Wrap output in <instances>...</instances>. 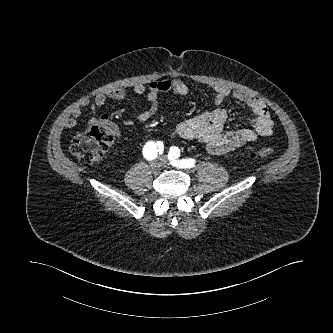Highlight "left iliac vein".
I'll use <instances>...</instances> for the list:
<instances>
[{"mask_svg":"<svg viewBox=\"0 0 333 333\" xmlns=\"http://www.w3.org/2000/svg\"><path fill=\"white\" fill-rule=\"evenodd\" d=\"M161 161H162L163 166H165V167L169 166L167 160L165 159V155L162 156Z\"/></svg>","mask_w":333,"mask_h":333,"instance_id":"obj_1","label":"left iliac vein"}]
</instances>
